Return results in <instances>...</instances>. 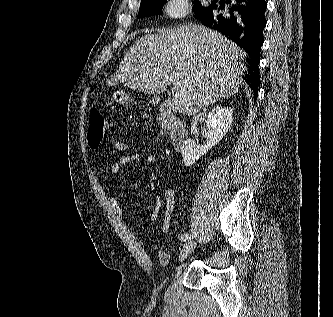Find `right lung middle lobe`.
<instances>
[{"label": "right lung middle lobe", "instance_id": "right-lung-middle-lobe-1", "mask_svg": "<svg viewBox=\"0 0 333 317\" xmlns=\"http://www.w3.org/2000/svg\"><path fill=\"white\" fill-rule=\"evenodd\" d=\"M167 2V0H142L140 5V10L138 14V18H143L150 15L160 14L163 5ZM206 7H203L199 0H195L194 2V12L195 14H199L201 11L205 10Z\"/></svg>", "mask_w": 333, "mask_h": 317}]
</instances>
